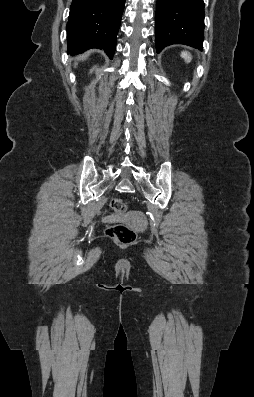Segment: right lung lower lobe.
<instances>
[{
  "label": "right lung lower lobe",
  "instance_id": "obj_1",
  "mask_svg": "<svg viewBox=\"0 0 254 397\" xmlns=\"http://www.w3.org/2000/svg\"><path fill=\"white\" fill-rule=\"evenodd\" d=\"M125 0H73L67 23L68 54L103 49L112 59Z\"/></svg>",
  "mask_w": 254,
  "mask_h": 397
}]
</instances>
